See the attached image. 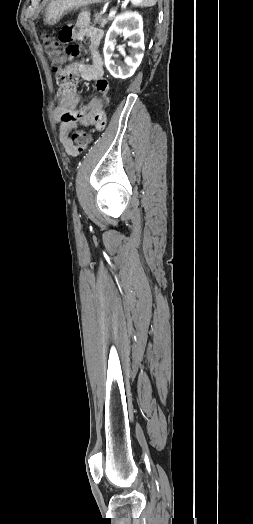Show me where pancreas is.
Returning <instances> with one entry per match:
<instances>
[{
    "mask_svg": "<svg viewBox=\"0 0 253 524\" xmlns=\"http://www.w3.org/2000/svg\"><path fill=\"white\" fill-rule=\"evenodd\" d=\"M111 20L113 18H105L102 13H95L94 15V23L100 25V27H104Z\"/></svg>",
    "mask_w": 253,
    "mask_h": 524,
    "instance_id": "1",
    "label": "pancreas"
}]
</instances>
